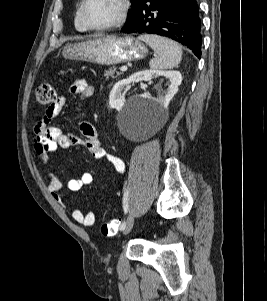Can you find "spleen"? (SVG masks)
<instances>
[{
	"instance_id": "3e777b00",
	"label": "spleen",
	"mask_w": 267,
	"mask_h": 301,
	"mask_svg": "<svg viewBox=\"0 0 267 301\" xmlns=\"http://www.w3.org/2000/svg\"><path fill=\"white\" fill-rule=\"evenodd\" d=\"M138 39L148 44L156 54L149 62L151 69H171L180 63L182 49L171 39L157 35H141Z\"/></svg>"
}]
</instances>
